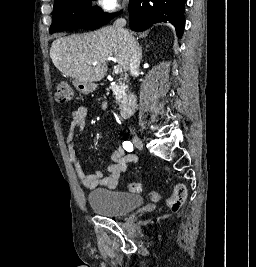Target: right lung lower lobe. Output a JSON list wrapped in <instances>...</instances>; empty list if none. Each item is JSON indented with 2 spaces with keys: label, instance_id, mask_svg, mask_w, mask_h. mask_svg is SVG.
<instances>
[{
  "label": "right lung lower lobe",
  "instance_id": "obj_1",
  "mask_svg": "<svg viewBox=\"0 0 256 267\" xmlns=\"http://www.w3.org/2000/svg\"><path fill=\"white\" fill-rule=\"evenodd\" d=\"M186 0H130V28L141 32L155 23L170 22L181 38L184 31Z\"/></svg>",
  "mask_w": 256,
  "mask_h": 267
}]
</instances>
